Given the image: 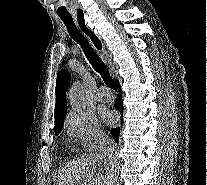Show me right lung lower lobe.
Segmentation results:
<instances>
[{
	"instance_id": "98d812e1",
	"label": "right lung lower lobe",
	"mask_w": 207,
	"mask_h": 185,
	"mask_svg": "<svg viewBox=\"0 0 207 185\" xmlns=\"http://www.w3.org/2000/svg\"><path fill=\"white\" fill-rule=\"evenodd\" d=\"M116 85H117V89H118L119 95H120L121 94V87H120L118 81H117ZM119 95L117 96V100L115 102V108L117 110H119L121 115H122V113H123V102H122L121 96H119ZM111 134H112L114 140L118 143V141H119V134H120V128H112L111 129Z\"/></svg>"
}]
</instances>
